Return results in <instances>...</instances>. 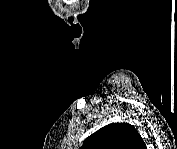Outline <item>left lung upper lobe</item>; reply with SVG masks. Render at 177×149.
Instances as JSON below:
<instances>
[{
    "label": "left lung upper lobe",
    "mask_w": 177,
    "mask_h": 149,
    "mask_svg": "<svg viewBox=\"0 0 177 149\" xmlns=\"http://www.w3.org/2000/svg\"><path fill=\"white\" fill-rule=\"evenodd\" d=\"M146 145L133 125L108 124L84 140L81 149H144Z\"/></svg>",
    "instance_id": "1"
}]
</instances>
